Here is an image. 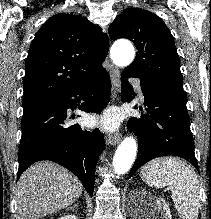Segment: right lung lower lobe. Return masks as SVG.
<instances>
[{
	"instance_id": "1",
	"label": "right lung lower lobe",
	"mask_w": 211,
	"mask_h": 219,
	"mask_svg": "<svg viewBox=\"0 0 211 219\" xmlns=\"http://www.w3.org/2000/svg\"><path fill=\"white\" fill-rule=\"evenodd\" d=\"M110 94L111 82L104 69L66 93L24 111L17 179L34 162L51 160L72 171L92 196L96 161L105 146L103 134L68 124L66 111L79 106L82 111L100 113Z\"/></svg>"
}]
</instances>
